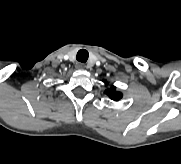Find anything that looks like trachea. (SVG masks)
I'll return each instance as SVG.
<instances>
[{"mask_svg": "<svg viewBox=\"0 0 181 164\" xmlns=\"http://www.w3.org/2000/svg\"><path fill=\"white\" fill-rule=\"evenodd\" d=\"M88 57H89L88 51L85 49H81L78 51L76 59L81 63H85L88 60Z\"/></svg>", "mask_w": 181, "mask_h": 164, "instance_id": "obj_1", "label": "trachea"}]
</instances>
